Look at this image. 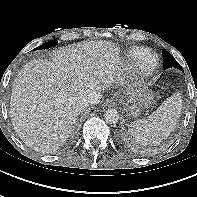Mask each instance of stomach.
Here are the masks:
<instances>
[{"label": "stomach", "instance_id": "0dacf381", "mask_svg": "<svg viewBox=\"0 0 197 197\" xmlns=\"http://www.w3.org/2000/svg\"><path fill=\"white\" fill-rule=\"evenodd\" d=\"M153 104V96L147 92H137L130 96L125 111L127 115L133 118L138 117L143 110L151 107Z\"/></svg>", "mask_w": 197, "mask_h": 197}]
</instances>
